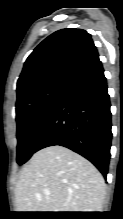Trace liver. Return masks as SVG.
Returning <instances> with one entry per match:
<instances>
[{
	"instance_id": "6515ba94",
	"label": "liver",
	"mask_w": 123,
	"mask_h": 219,
	"mask_svg": "<svg viewBox=\"0 0 123 219\" xmlns=\"http://www.w3.org/2000/svg\"><path fill=\"white\" fill-rule=\"evenodd\" d=\"M105 194L104 178L91 162L54 145L36 152L22 168L15 187L16 210L99 212Z\"/></svg>"
}]
</instances>
